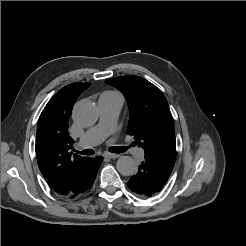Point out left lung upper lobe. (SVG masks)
I'll return each mask as SVG.
<instances>
[{
    "instance_id": "left-lung-upper-lobe-1",
    "label": "left lung upper lobe",
    "mask_w": 246,
    "mask_h": 246,
    "mask_svg": "<svg viewBox=\"0 0 246 246\" xmlns=\"http://www.w3.org/2000/svg\"><path fill=\"white\" fill-rule=\"evenodd\" d=\"M106 83L120 90L127 100V134L144 149L145 158L172 171L176 159L174 121L162 91L135 75L108 79Z\"/></svg>"
}]
</instances>
